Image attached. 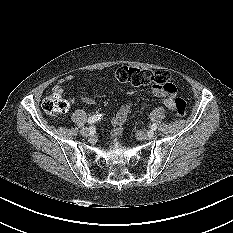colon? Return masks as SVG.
I'll return each instance as SVG.
<instances>
[{"instance_id":"1","label":"colon","mask_w":233,"mask_h":233,"mask_svg":"<svg viewBox=\"0 0 233 233\" xmlns=\"http://www.w3.org/2000/svg\"><path fill=\"white\" fill-rule=\"evenodd\" d=\"M115 78L133 86H152L157 87L168 93L176 92L175 86L169 81V74L165 71H151L129 66H121L114 71ZM174 111L179 116L186 113V103L180 97L173 98ZM42 108L52 117H57L65 113L69 108V102L61 95L52 94L43 100Z\"/></svg>"}]
</instances>
